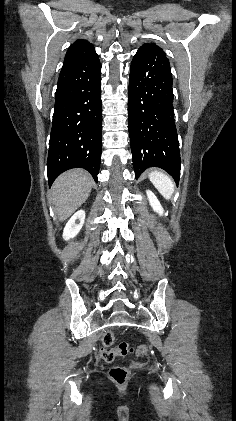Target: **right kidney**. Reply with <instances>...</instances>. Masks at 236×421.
Instances as JSON below:
<instances>
[{
    "instance_id": "right-kidney-1",
    "label": "right kidney",
    "mask_w": 236,
    "mask_h": 421,
    "mask_svg": "<svg viewBox=\"0 0 236 421\" xmlns=\"http://www.w3.org/2000/svg\"><path fill=\"white\" fill-rule=\"evenodd\" d=\"M84 221L85 211H77V213L69 219L68 223H66L63 231V239H65V241H69V239L76 237L79 231H81Z\"/></svg>"
}]
</instances>
